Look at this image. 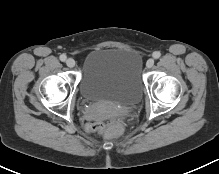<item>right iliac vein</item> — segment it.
<instances>
[{
    "instance_id": "obj_1",
    "label": "right iliac vein",
    "mask_w": 219,
    "mask_h": 174,
    "mask_svg": "<svg viewBox=\"0 0 219 174\" xmlns=\"http://www.w3.org/2000/svg\"><path fill=\"white\" fill-rule=\"evenodd\" d=\"M66 65L69 67V68H73L75 65H76V62L73 58H68L66 60Z\"/></svg>"
}]
</instances>
